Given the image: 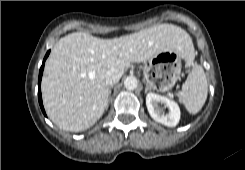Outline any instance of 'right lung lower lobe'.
Returning <instances> with one entry per match:
<instances>
[{"label":"right lung lower lobe","mask_w":245,"mask_h":170,"mask_svg":"<svg viewBox=\"0 0 245 170\" xmlns=\"http://www.w3.org/2000/svg\"><path fill=\"white\" fill-rule=\"evenodd\" d=\"M49 53H50V51H48L47 54L44 57L42 66L40 68L39 79H38V100H39V104H40L41 110H42V112L44 113L45 116H46V114H45V110H44V107H43V104H42V96H41L40 85H41V79H42V74H43V70H44V63H45V60L48 57Z\"/></svg>","instance_id":"obj_1"}]
</instances>
